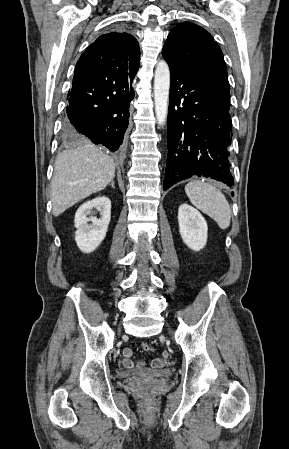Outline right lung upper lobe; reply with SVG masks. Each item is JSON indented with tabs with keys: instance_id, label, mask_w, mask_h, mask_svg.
<instances>
[{
	"instance_id": "obj_1",
	"label": "right lung upper lobe",
	"mask_w": 289,
	"mask_h": 449,
	"mask_svg": "<svg viewBox=\"0 0 289 449\" xmlns=\"http://www.w3.org/2000/svg\"><path fill=\"white\" fill-rule=\"evenodd\" d=\"M140 65L137 40L125 32L99 36L78 60L73 79L115 81L133 77Z\"/></svg>"
}]
</instances>
